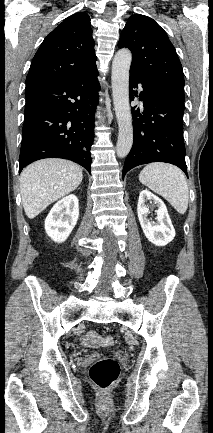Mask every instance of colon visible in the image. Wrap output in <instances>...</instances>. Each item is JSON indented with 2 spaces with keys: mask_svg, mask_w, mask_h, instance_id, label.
<instances>
[{
  "mask_svg": "<svg viewBox=\"0 0 213 433\" xmlns=\"http://www.w3.org/2000/svg\"><path fill=\"white\" fill-rule=\"evenodd\" d=\"M105 345H113L115 339L111 335H106L103 338ZM120 374V366L118 362L112 358L103 357L96 360L89 370V376L92 382L100 389L107 390L112 386Z\"/></svg>",
  "mask_w": 213,
  "mask_h": 433,
  "instance_id": "obj_1",
  "label": "colon"
}]
</instances>
